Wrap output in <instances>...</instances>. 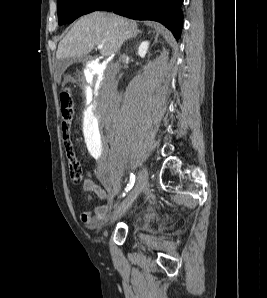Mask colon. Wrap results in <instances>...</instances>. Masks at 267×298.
Masks as SVG:
<instances>
[{
    "mask_svg": "<svg viewBox=\"0 0 267 298\" xmlns=\"http://www.w3.org/2000/svg\"><path fill=\"white\" fill-rule=\"evenodd\" d=\"M61 110L64 119L62 136L63 145L68 161L70 180L73 184H80L83 180V168L77 159L68 133L67 121L71 119L73 112V102L70 93L66 90L61 94Z\"/></svg>",
    "mask_w": 267,
    "mask_h": 298,
    "instance_id": "5ec220e1",
    "label": "colon"
}]
</instances>
